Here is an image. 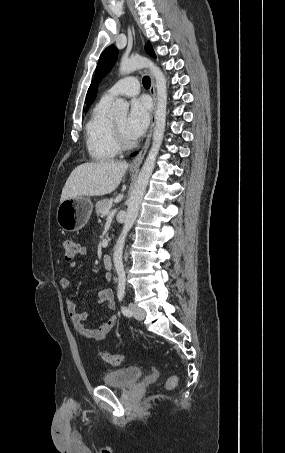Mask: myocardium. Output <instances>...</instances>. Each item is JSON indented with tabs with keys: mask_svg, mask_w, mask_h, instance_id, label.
Returning a JSON list of instances; mask_svg holds the SVG:
<instances>
[{
	"mask_svg": "<svg viewBox=\"0 0 285 453\" xmlns=\"http://www.w3.org/2000/svg\"><path fill=\"white\" fill-rule=\"evenodd\" d=\"M112 126L115 140L120 150H128L135 146V141L133 139L127 138L114 120H112Z\"/></svg>",
	"mask_w": 285,
	"mask_h": 453,
	"instance_id": "myocardium-1",
	"label": "myocardium"
}]
</instances>
